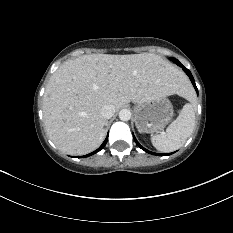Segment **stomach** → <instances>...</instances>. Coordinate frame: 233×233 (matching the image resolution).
<instances>
[{
	"mask_svg": "<svg viewBox=\"0 0 233 233\" xmlns=\"http://www.w3.org/2000/svg\"><path fill=\"white\" fill-rule=\"evenodd\" d=\"M135 124L140 133H154L162 130L173 116V108L166 97L138 103L134 107Z\"/></svg>",
	"mask_w": 233,
	"mask_h": 233,
	"instance_id": "1",
	"label": "stomach"
}]
</instances>
